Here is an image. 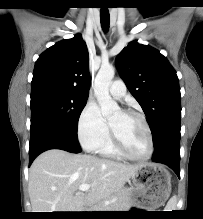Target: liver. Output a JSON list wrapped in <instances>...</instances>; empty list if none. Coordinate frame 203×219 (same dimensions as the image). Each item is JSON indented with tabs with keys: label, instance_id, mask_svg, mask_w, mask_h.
I'll list each match as a JSON object with an SVG mask.
<instances>
[{
	"label": "liver",
	"instance_id": "liver-1",
	"mask_svg": "<svg viewBox=\"0 0 203 219\" xmlns=\"http://www.w3.org/2000/svg\"><path fill=\"white\" fill-rule=\"evenodd\" d=\"M140 165L52 149L40 154L29 172L33 212H82L118 192ZM89 184L87 193L79 190Z\"/></svg>",
	"mask_w": 203,
	"mask_h": 219
}]
</instances>
